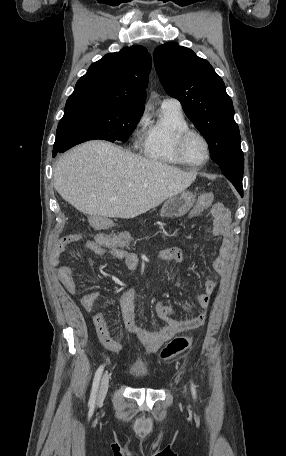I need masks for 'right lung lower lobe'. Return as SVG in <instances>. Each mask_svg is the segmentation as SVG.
<instances>
[{"label":"right lung lower lobe","instance_id":"1","mask_svg":"<svg viewBox=\"0 0 286 456\" xmlns=\"http://www.w3.org/2000/svg\"><path fill=\"white\" fill-rule=\"evenodd\" d=\"M58 152H60V151L58 149L54 148L53 149V157H55Z\"/></svg>","mask_w":286,"mask_h":456}]
</instances>
